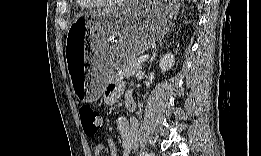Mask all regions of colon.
<instances>
[{
	"label": "colon",
	"mask_w": 261,
	"mask_h": 156,
	"mask_svg": "<svg viewBox=\"0 0 261 156\" xmlns=\"http://www.w3.org/2000/svg\"><path fill=\"white\" fill-rule=\"evenodd\" d=\"M79 116L85 134L89 138L96 137L102 123L101 114L93 107L83 105L79 109Z\"/></svg>",
	"instance_id": "5ec220e1"
}]
</instances>
